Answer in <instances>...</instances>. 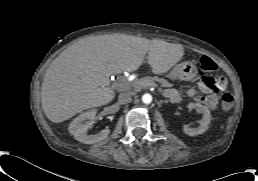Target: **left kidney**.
<instances>
[{
  "mask_svg": "<svg viewBox=\"0 0 258 181\" xmlns=\"http://www.w3.org/2000/svg\"><path fill=\"white\" fill-rule=\"evenodd\" d=\"M188 107L190 109H195L198 112L202 113L203 117L198 127L193 128L188 125H185L183 128V132L189 136H196L199 134H203L208 129L212 119L210 110L206 106L202 105L201 103H190Z\"/></svg>",
  "mask_w": 258,
  "mask_h": 181,
  "instance_id": "left-kidney-1",
  "label": "left kidney"
}]
</instances>
